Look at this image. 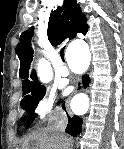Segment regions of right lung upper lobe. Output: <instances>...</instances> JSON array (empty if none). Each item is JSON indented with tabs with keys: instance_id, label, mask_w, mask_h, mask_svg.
Returning a JSON list of instances; mask_svg holds the SVG:
<instances>
[{
	"instance_id": "cb5924a9",
	"label": "right lung upper lobe",
	"mask_w": 124,
	"mask_h": 149,
	"mask_svg": "<svg viewBox=\"0 0 124 149\" xmlns=\"http://www.w3.org/2000/svg\"><path fill=\"white\" fill-rule=\"evenodd\" d=\"M86 17L82 13L76 0H64L62 7H57L49 17L47 35L53 46L60 45L67 38H74L77 33L85 35L88 31ZM34 27L24 31L20 36V43L17 46V55L20 59L19 75L22 79V87L41 86L37 80L36 72H29L33 58L31 37Z\"/></svg>"
}]
</instances>
